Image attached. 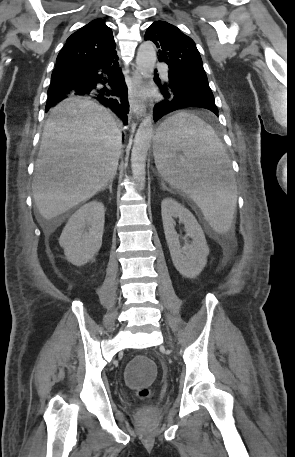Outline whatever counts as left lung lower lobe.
<instances>
[{
    "instance_id": "0a47b994",
    "label": "left lung lower lobe",
    "mask_w": 295,
    "mask_h": 457,
    "mask_svg": "<svg viewBox=\"0 0 295 457\" xmlns=\"http://www.w3.org/2000/svg\"><path fill=\"white\" fill-rule=\"evenodd\" d=\"M168 75L169 81L164 85L157 80L164 100L155 106L153 113L154 121H157L169 112L186 107L205 108L218 116V109L211 90L207 88L187 89L177 82L176 75L170 70Z\"/></svg>"
}]
</instances>
